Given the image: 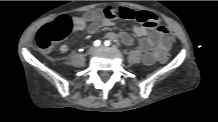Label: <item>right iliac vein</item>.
Here are the masks:
<instances>
[{
	"label": "right iliac vein",
	"instance_id": "1",
	"mask_svg": "<svg viewBox=\"0 0 218 122\" xmlns=\"http://www.w3.org/2000/svg\"><path fill=\"white\" fill-rule=\"evenodd\" d=\"M95 52H96V48H95V47H91V48H89V50H88V54H89V55H93Z\"/></svg>",
	"mask_w": 218,
	"mask_h": 122
}]
</instances>
